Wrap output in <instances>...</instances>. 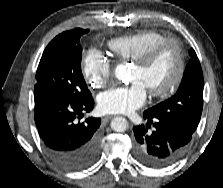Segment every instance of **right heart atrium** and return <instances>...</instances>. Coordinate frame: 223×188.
I'll return each instance as SVG.
<instances>
[{
  "label": "right heart atrium",
  "instance_id": "right-heart-atrium-1",
  "mask_svg": "<svg viewBox=\"0 0 223 188\" xmlns=\"http://www.w3.org/2000/svg\"><path fill=\"white\" fill-rule=\"evenodd\" d=\"M82 74L92 88H101L111 77L110 61L96 52H88L82 59Z\"/></svg>",
  "mask_w": 223,
  "mask_h": 188
}]
</instances>
